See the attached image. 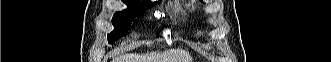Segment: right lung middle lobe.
<instances>
[{
    "label": "right lung middle lobe",
    "instance_id": "right-lung-middle-lobe-1",
    "mask_svg": "<svg viewBox=\"0 0 331 62\" xmlns=\"http://www.w3.org/2000/svg\"><path fill=\"white\" fill-rule=\"evenodd\" d=\"M128 5V9L122 12H116L112 24L115 30L108 35L110 43H114L116 39L126 35L127 30L135 17H140L146 9L150 8L153 3H140L132 1H123Z\"/></svg>",
    "mask_w": 331,
    "mask_h": 62
}]
</instances>
